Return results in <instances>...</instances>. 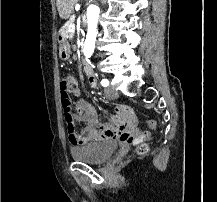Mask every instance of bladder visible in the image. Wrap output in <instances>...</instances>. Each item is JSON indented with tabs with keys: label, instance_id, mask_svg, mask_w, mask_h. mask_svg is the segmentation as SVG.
<instances>
[{
	"label": "bladder",
	"instance_id": "1",
	"mask_svg": "<svg viewBox=\"0 0 217 202\" xmlns=\"http://www.w3.org/2000/svg\"><path fill=\"white\" fill-rule=\"evenodd\" d=\"M117 146L118 143L112 140L86 144L80 149H73L71 156L88 164L104 163L116 151Z\"/></svg>",
	"mask_w": 217,
	"mask_h": 202
}]
</instances>
